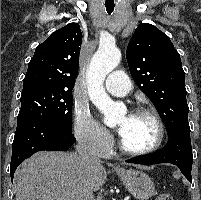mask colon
<instances>
[{
	"label": "colon",
	"instance_id": "1",
	"mask_svg": "<svg viewBox=\"0 0 201 200\" xmlns=\"http://www.w3.org/2000/svg\"><path fill=\"white\" fill-rule=\"evenodd\" d=\"M157 200H173V197L169 193H161Z\"/></svg>",
	"mask_w": 201,
	"mask_h": 200
}]
</instances>
